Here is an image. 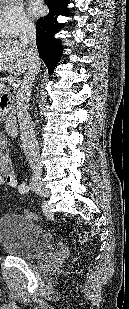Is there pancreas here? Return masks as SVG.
I'll return each mask as SVG.
<instances>
[{
  "instance_id": "pancreas-1",
  "label": "pancreas",
  "mask_w": 129,
  "mask_h": 309,
  "mask_svg": "<svg viewBox=\"0 0 129 309\" xmlns=\"http://www.w3.org/2000/svg\"><path fill=\"white\" fill-rule=\"evenodd\" d=\"M6 90V87L4 84H0V93L5 91Z\"/></svg>"
}]
</instances>
